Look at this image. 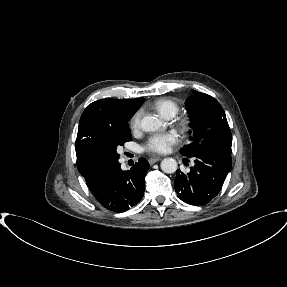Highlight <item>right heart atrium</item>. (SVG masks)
I'll list each match as a JSON object with an SVG mask.
<instances>
[{
  "label": "right heart atrium",
  "mask_w": 287,
  "mask_h": 287,
  "mask_svg": "<svg viewBox=\"0 0 287 287\" xmlns=\"http://www.w3.org/2000/svg\"><path fill=\"white\" fill-rule=\"evenodd\" d=\"M141 111H137L130 120V126L133 130H138L141 124Z\"/></svg>",
  "instance_id": "obj_1"
}]
</instances>
